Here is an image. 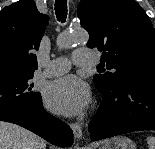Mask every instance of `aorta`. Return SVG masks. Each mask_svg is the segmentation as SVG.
<instances>
[{
  "label": "aorta",
  "instance_id": "762f6f07",
  "mask_svg": "<svg viewBox=\"0 0 155 149\" xmlns=\"http://www.w3.org/2000/svg\"><path fill=\"white\" fill-rule=\"evenodd\" d=\"M89 36L84 30H77L59 36L57 44L60 48H69L74 44L86 43Z\"/></svg>",
  "mask_w": 155,
  "mask_h": 149
}]
</instances>
